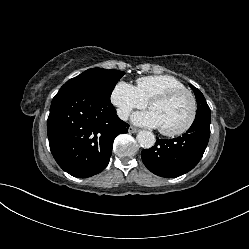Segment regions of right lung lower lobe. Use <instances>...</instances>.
<instances>
[{
	"label": "right lung lower lobe",
	"mask_w": 249,
	"mask_h": 249,
	"mask_svg": "<svg viewBox=\"0 0 249 249\" xmlns=\"http://www.w3.org/2000/svg\"><path fill=\"white\" fill-rule=\"evenodd\" d=\"M128 127L111 102L80 88L61 87L47 120L50 150L64 171L90 177L105 169L115 137Z\"/></svg>",
	"instance_id": "right-lung-lower-lobe-1"
}]
</instances>
